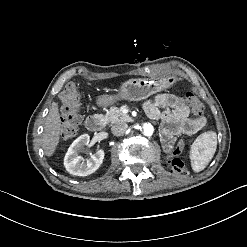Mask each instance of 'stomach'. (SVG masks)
<instances>
[{
  "label": "stomach",
  "instance_id": "stomach-1",
  "mask_svg": "<svg viewBox=\"0 0 247 247\" xmlns=\"http://www.w3.org/2000/svg\"><path fill=\"white\" fill-rule=\"evenodd\" d=\"M179 81L180 77L174 74L157 79H129L122 82L117 92L98 95L96 102L98 106L109 107L121 100L140 101L177 85Z\"/></svg>",
  "mask_w": 247,
  "mask_h": 247
}]
</instances>
